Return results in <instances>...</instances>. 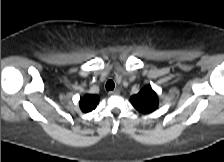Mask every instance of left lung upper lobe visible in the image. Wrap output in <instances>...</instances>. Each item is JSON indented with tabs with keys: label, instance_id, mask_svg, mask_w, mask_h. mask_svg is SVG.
Returning a JSON list of instances; mask_svg holds the SVG:
<instances>
[{
	"label": "left lung upper lobe",
	"instance_id": "5c2ea615",
	"mask_svg": "<svg viewBox=\"0 0 224 162\" xmlns=\"http://www.w3.org/2000/svg\"><path fill=\"white\" fill-rule=\"evenodd\" d=\"M131 103L141 113H151L158 107L157 94L150 85L145 86L138 94L131 97Z\"/></svg>",
	"mask_w": 224,
	"mask_h": 162
}]
</instances>
